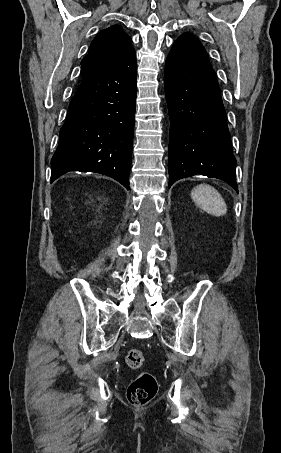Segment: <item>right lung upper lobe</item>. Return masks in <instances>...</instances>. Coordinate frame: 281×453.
<instances>
[{"label": "right lung upper lobe", "mask_w": 281, "mask_h": 453, "mask_svg": "<svg viewBox=\"0 0 281 453\" xmlns=\"http://www.w3.org/2000/svg\"><path fill=\"white\" fill-rule=\"evenodd\" d=\"M131 38L119 25L102 30L92 41L87 56L81 61V77L102 75L133 54Z\"/></svg>", "instance_id": "obj_1"}]
</instances>
